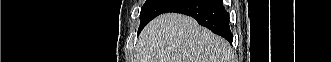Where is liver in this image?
Here are the masks:
<instances>
[{"instance_id": "liver-1", "label": "liver", "mask_w": 331, "mask_h": 62, "mask_svg": "<svg viewBox=\"0 0 331 62\" xmlns=\"http://www.w3.org/2000/svg\"><path fill=\"white\" fill-rule=\"evenodd\" d=\"M139 62H229L231 47L222 37L199 26L191 17L168 13L142 31Z\"/></svg>"}]
</instances>
